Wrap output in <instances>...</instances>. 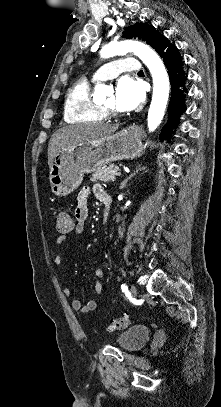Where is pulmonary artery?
<instances>
[{
    "mask_svg": "<svg viewBox=\"0 0 221 407\" xmlns=\"http://www.w3.org/2000/svg\"><path fill=\"white\" fill-rule=\"evenodd\" d=\"M142 69L141 63L133 57L121 56L101 66L93 75L94 80L114 78L120 73L135 74Z\"/></svg>",
    "mask_w": 221,
    "mask_h": 407,
    "instance_id": "e3ab8cb5",
    "label": "pulmonary artery"
}]
</instances>
